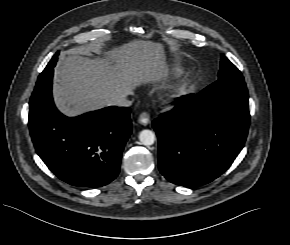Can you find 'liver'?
Here are the masks:
<instances>
[{
	"instance_id": "6515ba94",
	"label": "liver",
	"mask_w": 290,
	"mask_h": 245,
	"mask_svg": "<svg viewBox=\"0 0 290 245\" xmlns=\"http://www.w3.org/2000/svg\"><path fill=\"white\" fill-rule=\"evenodd\" d=\"M105 55L104 60L80 55L60 59L53 93L63 113L76 116L109 106L114 97L132 94L136 87L160 78L161 56L152 42L130 41L111 48Z\"/></svg>"
}]
</instances>
